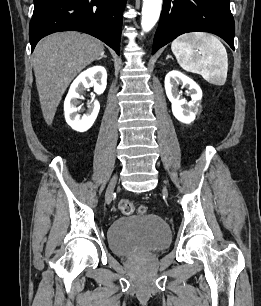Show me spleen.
Returning <instances> with one entry per match:
<instances>
[{
  "mask_svg": "<svg viewBox=\"0 0 261 306\" xmlns=\"http://www.w3.org/2000/svg\"><path fill=\"white\" fill-rule=\"evenodd\" d=\"M171 50L184 70L202 75L211 84H225L227 52L215 36L204 32L185 33L172 42Z\"/></svg>",
  "mask_w": 261,
  "mask_h": 306,
  "instance_id": "1",
  "label": "spleen"
}]
</instances>
